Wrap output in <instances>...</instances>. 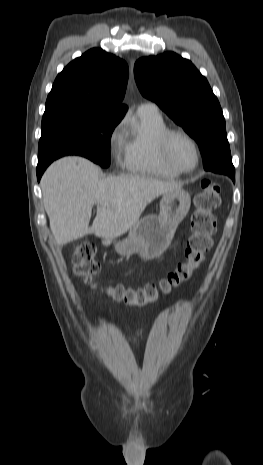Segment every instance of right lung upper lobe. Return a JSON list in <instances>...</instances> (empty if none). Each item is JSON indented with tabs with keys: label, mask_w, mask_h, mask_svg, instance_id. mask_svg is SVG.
Returning <instances> with one entry per match:
<instances>
[{
	"label": "right lung upper lobe",
	"mask_w": 263,
	"mask_h": 465,
	"mask_svg": "<svg viewBox=\"0 0 263 465\" xmlns=\"http://www.w3.org/2000/svg\"><path fill=\"white\" fill-rule=\"evenodd\" d=\"M128 80L122 59L93 48L69 63L56 77L46 106L76 104L127 111L121 104Z\"/></svg>",
	"instance_id": "cb5924a9"
}]
</instances>
